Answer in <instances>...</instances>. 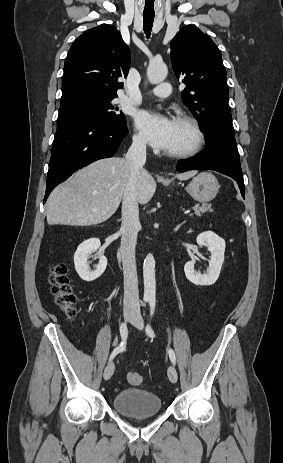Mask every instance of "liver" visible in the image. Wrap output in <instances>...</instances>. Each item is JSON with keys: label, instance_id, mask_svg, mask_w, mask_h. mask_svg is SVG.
<instances>
[{"label": "liver", "instance_id": "liver-1", "mask_svg": "<svg viewBox=\"0 0 283 463\" xmlns=\"http://www.w3.org/2000/svg\"><path fill=\"white\" fill-rule=\"evenodd\" d=\"M197 174H177L187 180ZM130 178L126 159L112 157L98 160L78 170L72 178L56 187L47 200L49 225L90 226L105 222L118 209ZM156 191V182L143 169L138 186V202L146 204Z\"/></svg>", "mask_w": 283, "mask_h": 463}]
</instances>
